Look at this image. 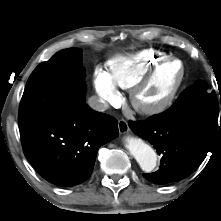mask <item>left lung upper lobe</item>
I'll list each match as a JSON object with an SVG mask.
<instances>
[{"label": "left lung upper lobe", "instance_id": "5c2ea615", "mask_svg": "<svg viewBox=\"0 0 221 221\" xmlns=\"http://www.w3.org/2000/svg\"><path fill=\"white\" fill-rule=\"evenodd\" d=\"M207 88L208 84L205 81H196L179 96L171 108L163 113V116L167 118L190 116L218 118L219 100L215 92L210 93Z\"/></svg>", "mask_w": 221, "mask_h": 221}]
</instances>
